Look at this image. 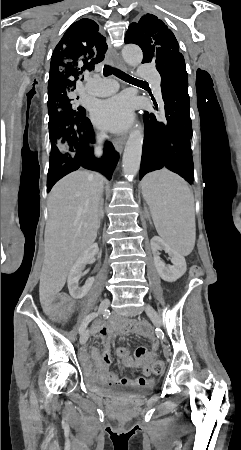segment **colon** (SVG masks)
Returning <instances> with one entry per match:
<instances>
[{
    "instance_id": "1",
    "label": "colon",
    "mask_w": 241,
    "mask_h": 450,
    "mask_svg": "<svg viewBox=\"0 0 241 450\" xmlns=\"http://www.w3.org/2000/svg\"><path fill=\"white\" fill-rule=\"evenodd\" d=\"M191 274L193 276H198L201 274V269L194 265L191 267ZM153 371L155 374H160L163 371V364L161 362H158L154 365Z\"/></svg>"
}]
</instances>
